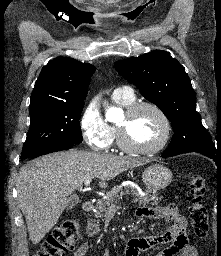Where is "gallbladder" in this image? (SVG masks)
I'll use <instances>...</instances> for the list:
<instances>
[{"label": "gallbladder", "mask_w": 221, "mask_h": 256, "mask_svg": "<svg viewBox=\"0 0 221 256\" xmlns=\"http://www.w3.org/2000/svg\"><path fill=\"white\" fill-rule=\"evenodd\" d=\"M79 202V198L77 196H71L68 201L67 210L72 209Z\"/></svg>", "instance_id": "1"}]
</instances>
